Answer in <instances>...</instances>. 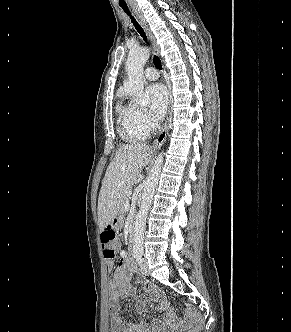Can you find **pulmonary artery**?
I'll return each instance as SVG.
<instances>
[{
	"instance_id": "e3ab8cb5",
	"label": "pulmonary artery",
	"mask_w": 291,
	"mask_h": 332,
	"mask_svg": "<svg viewBox=\"0 0 291 332\" xmlns=\"http://www.w3.org/2000/svg\"><path fill=\"white\" fill-rule=\"evenodd\" d=\"M144 77L147 79V80H150V81H154V80H157L158 77H159V74L157 72V70L153 67H148L145 69L144 71Z\"/></svg>"
}]
</instances>
